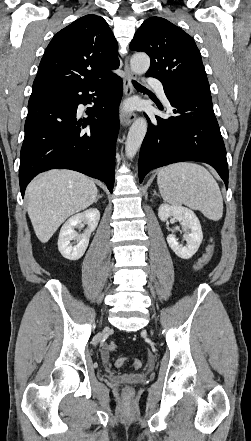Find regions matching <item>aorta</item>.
I'll return each mask as SVG.
<instances>
[{
	"label": "aorta",
	"instance_id": "aorta-1",
	"mask_svg": "<svg viewBox=\"0 0 251 441\" xmlns=\"http://www.w3.org/2000/svg\"><path fill=\"white\" fill-rule=\"evenodd\" d=\"M131 70L136 74H144L150 66V58L144 53L133 55L130 61ZM147 132V121L144 118L136 119L131 125L125 143V152L128 158H133L139 150Z\"/></svg>",
	"mask_w": 251,
	"mask_h": 441
}]
</instances>
